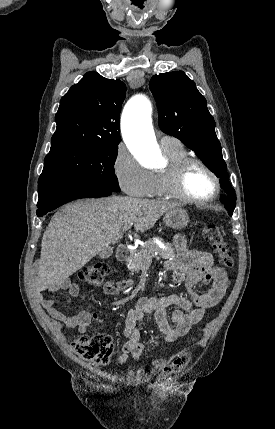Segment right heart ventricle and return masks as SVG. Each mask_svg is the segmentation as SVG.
<instances>
[{
    "instance_id": "1",
    "label": "right heart ventricle",
    "mask_w": 275,
    "mask_h": 429,
    "mask_svg": "<svg viewBox=\"0 0 275 429\" xmlns=\"http://www.w3.org/2000/svg\"><path fill=\"white\" fill-rule=\"evenodd\" d=\"M162 149L168 159V165L188 156L187 151L182 145L174 147H162ZM148 195L159 198L172 197L167 188V180L164 169L152 173V187Z\"/></svg>"
}]
</instances>
